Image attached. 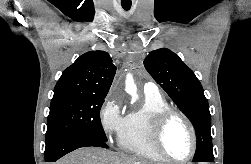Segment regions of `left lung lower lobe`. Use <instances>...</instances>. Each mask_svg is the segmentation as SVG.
Here are the masks:
<instances>
[{
    "mask_svg": "<svg viewBox=\"0 0 251 164\" xmlns=\"http://www.w3.org/2000/svg\"><path fill=\"white\" fill-rule=\"evenodd\" d=\"M193 162H214V160H193Z\"/></svg>",
    "mask_w": 251,
    "mask_h": 164,
    "instance_id": "obj_1",
    "label": "left lung lower lobe"
}]
</instances>
